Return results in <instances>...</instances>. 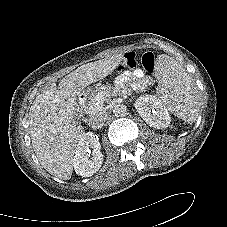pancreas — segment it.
I'll return each instance as SVG.
<instances>
[{"mask_svg": "<svg viewBox=\"0 0 227 227\" xmlns=\"http://www.w3.org/2000/svg\"><path fill=\"white\" fill-rule=\"evenodd\" d=\"M111 85H105V86H101L95 90H89V97H88V103L85 107L86 111L88 113H95V112H98L100 110H102L103 108V103L100 104V106L98 108H96L94 106V103H95V99L97 96L103 94L104 92L106 91H110L111 90Z\"/></svg>", "mask_w": 227, "mask_h": 227, "instance_id": "pancreas-1", "label": "pancreas"}]
</instances>
